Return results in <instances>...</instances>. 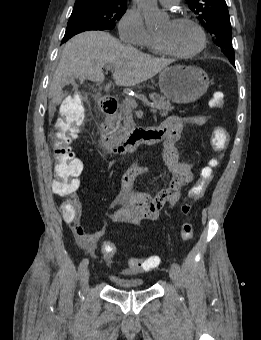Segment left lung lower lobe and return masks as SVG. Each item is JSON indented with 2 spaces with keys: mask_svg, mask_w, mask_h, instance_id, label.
Wrapping results in <instances>:
<instances>
[{
  "mask_svg": "<svg viewBox=\"0 0 261 340\" xmlns=\"http://www.w3.org/2000/svg\"><path fill=\"white\" fill-rule=\"evenodd\" d=\"M230 62H231L232 65H235V62L233 60H230Z\"/></svg>",
  "mask_w": 261,
  "mask_h": 340,
  "instance_id": "1",
  "label": "left lung lower lobe"
}]
</instances>
